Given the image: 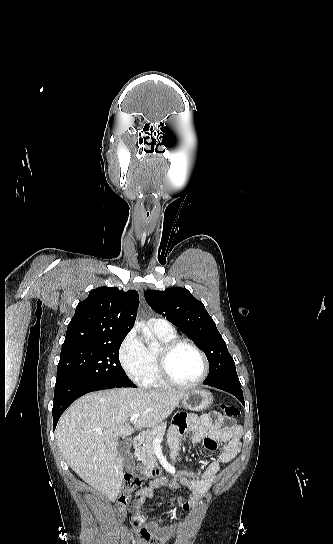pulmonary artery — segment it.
<instances>
[{"instance_id": "1", "label": "pulmonary artery", "mask_w": 333, "mask_h": 544, "mask_svg": "<svg viewBox=\"0 0 333 544\" xmlns=\"http://www.w3.org/2000/svg\"><path fill=\"white\" fill-rule=\"evenodd\" d=\"M149 325L152 326L155 330L162 332H171L174 330L172 325L168 321L161 318L150 319Z\"/></svg>"}]
</instances>
